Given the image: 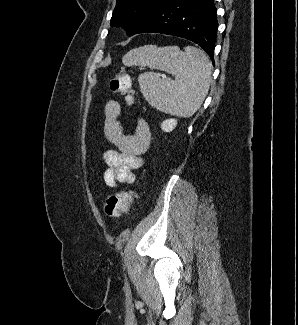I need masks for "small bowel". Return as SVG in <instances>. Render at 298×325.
Returning <instances> with one entry per match:
<instances>
[{
	"label": "small bowel",
	"instance_id": "1",
	"mask_svg": "<svg viewBox=\"0 0 298 325\" xmlns=\"http://www.w3.org/2000/svg\"><path fill=\"white\" fill-rule=\"evenodd\" d=\"M121 113L120 103L110 100L104 108V133L107 140L117 149L107 150L103 159L107 165L104 182L110 188L120 183L132 184L136 181L134 174L143 165L144 154L151 143V132L147 122L139 118L133 134H125L118 120Z\"/></svg>",
	"mask_w": 298,
	"mask_h": 325
}]
</instances>
